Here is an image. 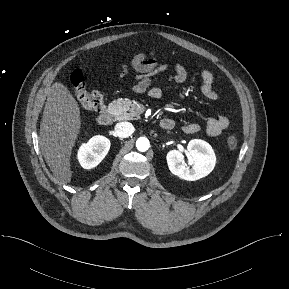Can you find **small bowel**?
I'll use <instances>...</instances> for the list:
<instances>
[{"label": "small bowel", "instance_id": "obj_1", "mask_svg": "<svg viewBox=\"0 0 289 289\" xmlns=\"http://www.w3.org/2000/svg\"><path fill=\"white\" fill-rule=\"evenodd\" d=\"M132 68L140 74L137 78V83L133 90L138 93L148 91L151 98L158 99L162 96V89L160 87H150L151 82L158 75L164 74L167 66L159 64L156 60L148 58L146 54L139 53L135 55L131 61ZM127 74V66L123 64L119 76L122 78ZM188 73L186 68L178 63L175 65L174 72L166 74L165 78L168 81L175 83H182L186 81ZM201 93L208 100H217L219 98L218 92L214 89V75L209 70H203L200 73ZM229 125L228 116L221 115L208 119L206 123V133L210 136H218ZM201 130V127L196 123H188L183 126V131L188 134H195Z\"/></svg>", "mask_w": 289, "mask_h": 289}]
</instances>
